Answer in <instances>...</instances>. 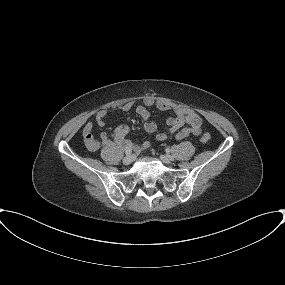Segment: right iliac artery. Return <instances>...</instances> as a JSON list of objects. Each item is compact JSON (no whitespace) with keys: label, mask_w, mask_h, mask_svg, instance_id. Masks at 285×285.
I'll return each instance as SVG.
<instances>
[{"label":"right iliac artery","mask_w":285,"mask_h":285,"mask_svg":"<svg viewBox=\"0 0 285 285\" xmlns=\"http://www.w3.org/2000/svg\"><path fill=\"white\" fill-rule=\"evenodd\" d=\"M125 153L126 155H130L132 153V149L130 148L125 149Z\"/></svg>","instance_id":"obj_1"}]
</instances>
